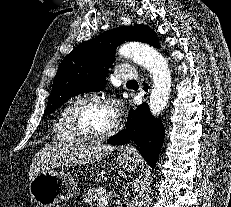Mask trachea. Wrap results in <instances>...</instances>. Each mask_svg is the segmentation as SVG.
Masks as SVG:
<instances>
[{"mask_svg": "<svg viewBox=\"0 0 231 207\" xmlns=\"http://www.w3.org/2000/svg\"><path fill=\"white\" fill-rule=\"evenodd\" d=\"M127 83H137L136 80L128 81Z\"/></svg>", "mask_w": 231, "mask_h": 207, "instance_id": "1", "label": "trachea"}]
</instances>
